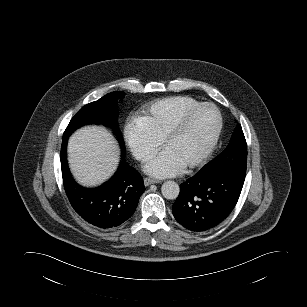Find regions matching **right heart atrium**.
Masks as SVG:
<instances>
[{
	"label": "right heart atrium",
	"instance_id": "1",
	"mask_svg": "<svg viewBox=\"0 0 307 307\" xmlns=\"http://www.w3.org/2000/svg\"><path fill=\"white\" fill-rule=\"evenodd\" d=\"M124 138L132 155L142 162L149 160L160 145V139L140 116L127 120Z\"/></svg>",
	"mask_w": 307,
	"mask_h": 307
}]
</instances>
